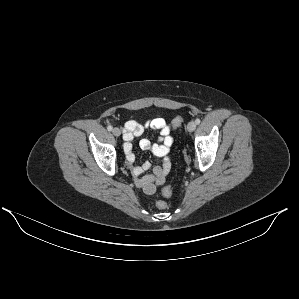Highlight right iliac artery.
Segmentation results:
<instances>
[{
	"label": "right iliac artery",
	"mask_w": 299,
	"mask_h": 299,
	"mask_svg": "<svg viewBox=\"0 0 299 299\" xmlns=\"http://www.w3.org/2000/svg\"><path fill=\"white\" fill-rule=\"evenodd\" d=\"M107 129H108V131H111V130H112V126L109 125V126L107 127Z\"/></svg>",
	"instance_id": "right-iliac-artery-1"
}]
</instances>
